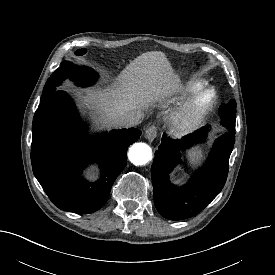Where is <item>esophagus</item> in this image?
I'll return each instance as SVG.
<instances>
[{
    "label": "esophagus",
    "mask_w": 275,
    "mask_h": 275,
    "mask_svg": "<svg viewBox=\"0 0 275 275\" xmlns=\"http://www.w3.org/2000/svg\"><path fill=\"white\" fill-rule=\"evenodd\" d=\"M157 136V129L155 126H149L145 131V138L152 142Z\"/></svg>",
    "instance_id": "34e87169"
}]
</instances>
